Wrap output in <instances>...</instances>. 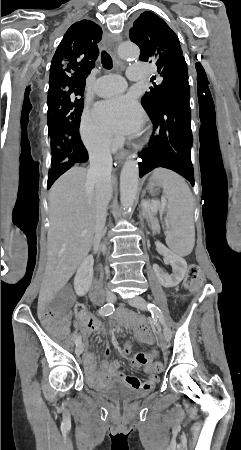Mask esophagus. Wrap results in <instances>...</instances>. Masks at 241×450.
Returning a JSON list of instances; mask_svg holds the SVG:
<instances>
[{"instance_id": "1", "label": "esophagus", "mask_w": 241, "mask_h": 450, "mask_svg": "<svg viewBox=\"0 0 241 450\" xmlns=\"http://www.w3.org/2000/svg\"><path fill=\"white\" fill-rule=\"evenodd\" d=\"M122 41L121 36L112 35L108 33L106 35V47L109 48L110 53L115 58L117 57V48ZM127 156V151H122L121 153L116 155L118 162H122Z\"/></svg>"}]
</instances>
